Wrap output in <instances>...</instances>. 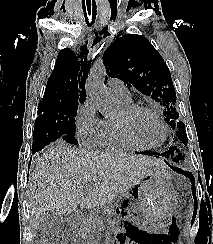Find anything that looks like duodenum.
<instances>
[{
	"label": "duodenum",
	"instance_id": "duodenum-1",
	"mask_svg": "<svg viewBox=\"0 0 213 244\" xmlns=\"http://www.w3.org/2000/svg\"><path fill=\"white\" fill-rule=\"evenodd\" d=\"M70 220L71 222L76 223L78 221V218L75 215H71Z\"/></svg>",
	"mask_w": 213,
	"mask_h": 244
}]
</instances>
